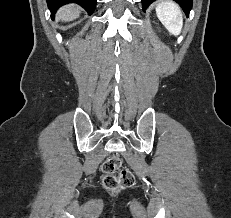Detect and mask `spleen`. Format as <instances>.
<instances>
[{"mask_svg": "<svg viewBox=\"0 0 231 218\" xmlns=\"http://www.w3.org/2000/svg\"><path fill=\"white\" fill-rule=\"evenodd\" d=\"M156 14L166 29L174 34L179 35L183 27L182 12L179 6L170 1H161L156 7Z\"/></svg>", "mask_w": 231, "mask_h": 218, "instance_id": "spleen-1", "label": "spleen"}]
</instances>
